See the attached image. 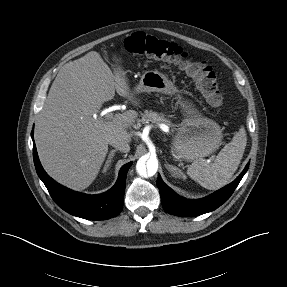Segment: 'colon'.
I'll return each mask as SVG.
<instances>
[{
	"label": "colon",
	"mask_w": 287,
	"mask_h": 287,
	"mask_svg": "<svg viewBox=\"0 0 287 287\" xmlns=\"http://www.w3.org/2000/svg\"><path fill=\"white\" fill-rule=\"evenodd\" d=\"M124 48L132 54L176 63L195 81L210 106L217 108L222 105L223 96L213 68L205 61L189 58L188 54L176 43L144 32H135L126 38Z\"/></svg>",
	"instance_id": "obj_1"
}]
</instances>
